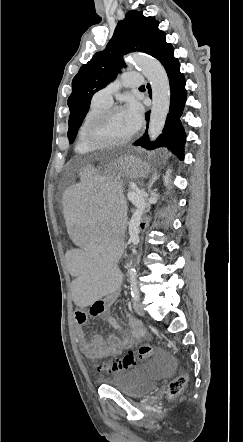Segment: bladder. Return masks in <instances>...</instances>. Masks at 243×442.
<instances>
[{
	"mask_svg": "<svg viewBox=\"0 0 243 442\" xmlns=\"http://www.w3.org/2000/svg\"><path fill=\"white\" fill-rule=\"evenodd\" d=\"M173 367L172 359L159 354L125 374L104 380V383L129 398H140L154 390L161 379L169 376Z\"/></svg>",
	"mask_w": 243,
	"mask_h": 442,
	"instance_id": "obj_1",
	"label": "bladder"
}]
</instances>
